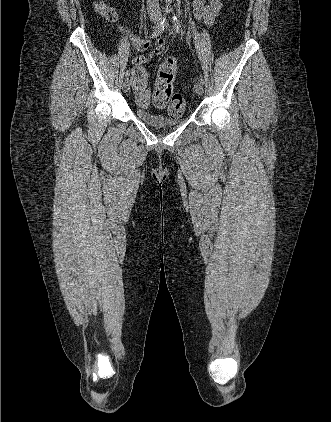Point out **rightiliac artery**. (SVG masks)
Masks as SVG:
<instances>
[{
  "instance_id": "right-iliac-artery-1",
  "label": "right iliac artery",
  "mask_w": 331,
  "mask_h": 422,
  "mask_svg": "<svg viewBox=\"0 0 331 422\" xmlns=\"http://www.w3.org/2000/svg\"><path fill=\"white\" fill-rule=\"evenodd\" d=\"M165 25H166V18L164 17V18H163V19H162V20L158 23V25L154 27V30H153V32L151 33L150 38L157 37V36H159L161 33H163V31H164V29H165ZM129 75H130V70H127V71L125 72V77H126V79H128Z\"/></svg>"
}]
</instances>
